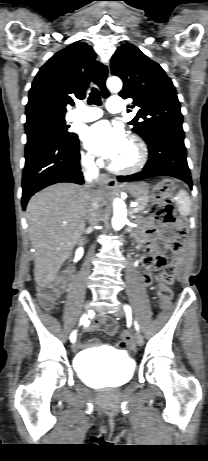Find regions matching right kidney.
<instances>
[{"label": "right kidney", "mask_w": 208, "mask_h": 461, "mask_svg": "<svg viewBox=\"0 0 208 461\" xmlns=\"http://www.w3.org/2000/svg\"><path fill=\"white\" fill-rule=\"evenodd\" d=\"M78 253L83 254V248H78L77 251H76V254H78Z\"/></svg>", "instance_id": "obj_1"}]
</instances>
